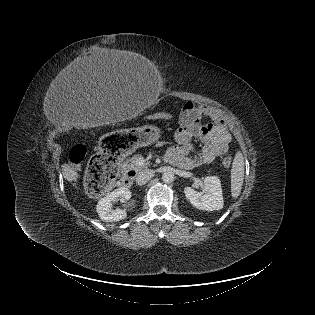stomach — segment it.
<instances>
[{
	"label": "stomach",
	"instance_id": "obj_1",
	"mask_svg": "<svg viewBox=\"0 0 315 315\" xmlns=\"http://www.w3.org/2000/svg\"><path fill=\"white\" fill-rule=\"evenodd\" d=\"M161 137V128L157 125L146 124L136 131L125 130L106 137L102 143V150L110 158H125L136 152L139 147L158 142Z\"/></svg>",
	"mask_w": 315,
	"mask_h": 315
}]
</instances>
